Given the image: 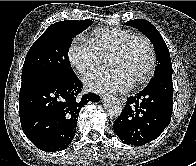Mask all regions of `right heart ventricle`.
<instances>
[{"instance_id":"obj_1","label":"right heart ventricle","mask_w":196,"mask_h":166,"mask_svg":"<svg viewBox=\"0 0 196 166\" xmlns=\"http://www.w3.org/2000/svg\"><path fill=\"white\" fill-rule=\"evenodd\" d=\"M134 33L119 27H106L95 30L91 41L103 57L111 56L122 43Z\"/></svg>"}]
</instances>
